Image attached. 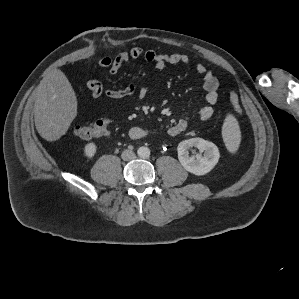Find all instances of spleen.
<instances>
[{
    "label": "spleen",
    "mask_w": 299,
    "mask_h": 299,
    "mask_svg": "<svg viewBox=\"0 0 299 299\" xmlns=\"http://www.w3.org/2000/svg\"><path fill=\"white\" fill-rule=\"evenodd\" d=\"M222 136L229 152L235 153L240 144L241 134L238 121L231 114H228L224 120Z\"/></svg>",
    "instance_id": "3e777b00"
}]
</instances>
